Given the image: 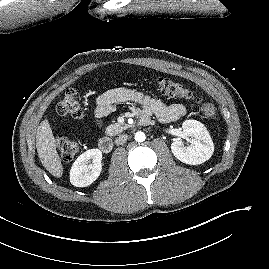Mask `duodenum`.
<instances>
[{
  "instance_id": "410a0bca",
  "label": "duodenum",
  "mask_w": 269,
  "mask_h": 269,
  "mask_svg": "<svg viewBox=\"0 0 269 269\" xmlns=\"http://www.w3.org/2000/svg\"><path fill=\"white\" fill-rule=\"evenodd\" d=\"M147 122H144V124ZM99 148L104 153H110L114 148L113 140L110 137H102L99 140Z\"/></svg>"
}]
</instances>
